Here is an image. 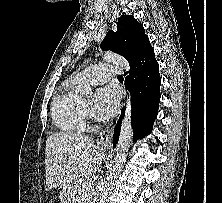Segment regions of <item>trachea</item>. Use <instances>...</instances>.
Segmentation results:
<instances>
[{"instance_id": "3493384b", "label": "trachea", "mask_w": 222, "mask_h": 203, "mask_svg": "<svg viewBox=\"0 0 222 203\" xmlns=\"http://www.w3.org/2000/svg\"><path fill=\"white\" fill-rule=\"evenodd\" d=\"M118 79H123V76H122V75H119V76H118Z\"/></svg>"}]
</instances>
